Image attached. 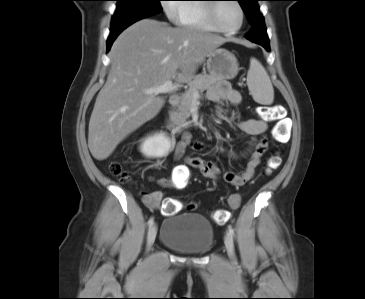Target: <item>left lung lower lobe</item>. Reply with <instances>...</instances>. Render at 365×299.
Instances as JSON below:
<instances>
[{"label":"left lung lower lobe","mask_w":365,"mask_h":299,"mask_svg":"<svg viewBox=\"0 0 365 299\" xmlns=\"http://www.w3.org/2000/svg\"><path fill=\"white\" fill-rule=\"evenodd\" d=\"M246 38L270 51L269 39L264 23L254 26L252 31L246 35Z\"/></svg>","instance_id":"obj_1"}]
</instances>
